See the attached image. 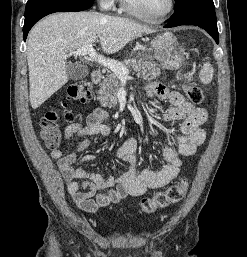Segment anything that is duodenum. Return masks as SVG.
<instances>
[{
	"instance_id": "duodenum-1",
	"label": "duodenum",
	"mask_w": 247,
	"mask_h": 257,
	"mask_svg": "<svg viewBox=\"0 0 247 257\" xmlns=\"http://www.w3.org/2000/svg\"><path fill=\"white\" fill-rule=\"evenodd\" d=\"M102 79V73L100 72V70H93L92 73H91V81L93 83H99Z\"/></svg>"
}]
</instances>
